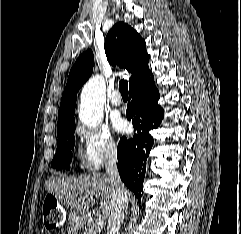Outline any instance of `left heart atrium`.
Returning <instances> with one entry per match:
<instances>
[{
    "label": "left heart atrium",
    "instance_id": "1",
    "mask_svg": "<svg viewBox=\"0 0 241 234\" xmlns=\"http://www.w3.org/2000/svg\"><path fill=\"white\" fill-rule=\"evenodd\" d=\"M113 127L118 132H125L127 130V123L120 117H115L113 119Z\"/></svg>",
    "mask_w": 241,
    "mask_h": 234
}]
</instances>
